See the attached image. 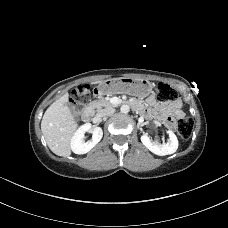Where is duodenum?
<instances>
[{
    "label": "duodenum",
    "instance_id": "duodenum-1",
    "mask_svg": "<svg viewBox=\"0 0 228 228\" xmlns=\"http://www.w3.org/2000/svg\"><path fill=\"white\" fill-rule=\"evenodd\" d=\"M92 117L93 113L91 109L85 110L81 116L83 122H90L92 120Z\"/></svg>",
    "mask_w": 228,
    "mask_h": 228
}]
</instances>
